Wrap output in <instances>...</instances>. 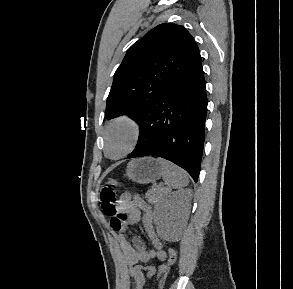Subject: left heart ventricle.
Here are the masks:
<instances>
[{
    "label": "left heart ventricle",
    "instance_id": "obj_1",
    "mask_svg": "<svg viewBox=\"0 0 293 289\" xmlns=\"http://www.w3.org/2000/svg\"><path fill=\"white\" fill-rule=\"evenodd\" d=\"M130 131L125 126L115 127L109 134L108 151L112 156L121 154L130 142Z\"/></svg>",
    "mask_w": 293,
    "mask_h": 289
}]
</instances>
